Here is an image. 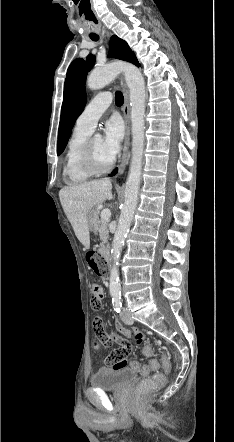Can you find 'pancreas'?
Returning a JSON list of instances; mask_svg holds the SVG:
<instances>
[{
  "label": "pancreas",
  "mask_w": 234,
  "mask_h": 442,
  "mask_svg": "<svg viewBox=\"0 0 234 442\" xmlns=\"http://www.w3.org/2000/svg\"><path fill=\"white\" fill-rule=\"evenodd\" d=\"M96 214L98 212L96 211ZM97 230L100 235V240L102 241V246H104L109 239V232H108V221L107 220H97Z\"/></svg>",
  "instance_id": "obj_1"
}]
</instances>
